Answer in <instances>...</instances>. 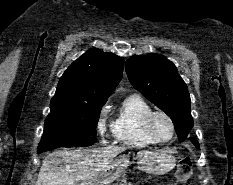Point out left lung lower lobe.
I'll list each match as a JSON object with an SVG mask.
<instances>
[{"label": "left lung lower lobe", "mask_w": 233, "mask_h": 185, "mask_svg": "<svg viewBox=\"0 0 233 185\" xmlns=\"http://www.w3.org/2000/svg\"><path fill=\"white\" fill-rule=\"evenodd\" d=\"M190 140L192 141V143L199 149V143L197 140L190 138Z\"/></svg>", "instance_id": "obj_1"}]
</instances>
